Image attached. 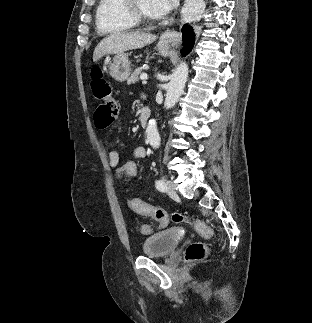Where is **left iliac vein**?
<instances>
[{"label":"left iliac vein","instance_id":"1","mask_svg":"<svg viewBox=\"0 0 312 323\" xmlns=\"http://www.w3.org/2000/svg\"><path fill=\"white\" fill-rule=\"evenodd\" d=\"M165 189L168 195H175L176 189L173 185V182L171 180H167L165 183Z\"/></svg>","mask_w":312,"mask_h":323}]
</instances>
